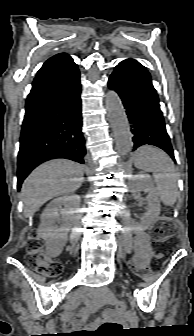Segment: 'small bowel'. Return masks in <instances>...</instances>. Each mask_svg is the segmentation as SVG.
I'll list each match as a JSON object with an SVG mask.
<instances>
[{"mask_svg": "<svg viewBox=\"0 0 194 336\" xmlns=\"http://www.w3.org/2000/svg\"><path fill=\"white\" fill-rule=\"evenodd\" d=\"M136 250L137 255L135 258V264L139 268H145L149 262V259L151 257V247L148 240V237L145 233L140 232L136 236ZM85 298L84 293H79L75 297V301H80ZM97 299L101 302H112L113 295L109 289H103L99 292V295L97 296ZM108 314H110V311H107ZM64 320L68 323H72L76 326H81L83 323V319L81 315H76L73 317L71 314H66L64 316Z\"/></svg>", "mask_w": 194, "mask_h": 336, "instance_id": "small-bowel-1", "label": "small bowel"}]
</instances>
